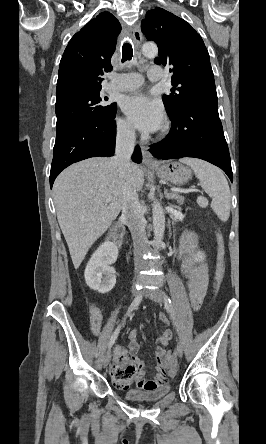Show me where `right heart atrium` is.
I'll return each instance as SVG.
<instances>
[{
	"label": "right heart atrium",
	"mask_w": 266,
	"mask_h": 444,
	"mask_svg": "<svg viewBox=\"0 0 266 444\" xmlns=\"http://www.w3.org/2000/svg\"><path fill=\"white\" fill-rule=\"evenodd\" d=\"M117 133L121 138H131L134 130L129 121L118 118L116 122Z\"/></svg>",
	"instance_id": "right-heart-atrium-1"
}]
</instances>
